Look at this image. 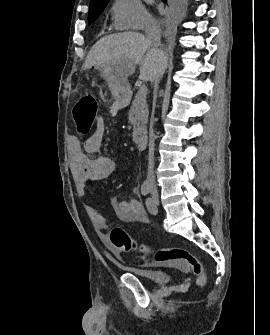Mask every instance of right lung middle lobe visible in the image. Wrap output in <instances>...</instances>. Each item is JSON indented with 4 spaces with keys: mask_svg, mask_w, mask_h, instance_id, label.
<instances>
[{
    "mask_svg": "<svg viewBox=\"0 0 270 335\" xmlns=\"http://www.w3.org/2000/svg\"><path fill=\"white\" fill-rule=\"evenodd\" d=\"M107 4L108 3H103V4L91 5L89 7V16H88L89 25L93 23L100 16V14L103 12Z\"/></svg>",
    "mask_w": 270,
    "mask_h": 335,
    "instance_id": "right-lung-middle-lobe-1",
    "label": "right lung middle lobe"
}]
</instances>
